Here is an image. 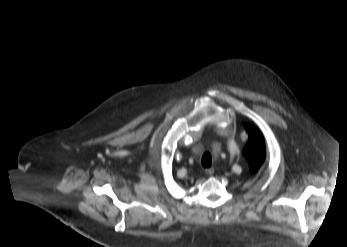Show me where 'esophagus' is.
<instances>
[{
    "label": "esophagus",
    "mask_w": 347,
    "mask_h": 247,
    "mask_svg": "<svg viewBox=\"0 0 347 247\" xmlns=\"http://www.w3.org/2000/svg\"><path fill=\"white\" fill-rule=\"evenodd\" d=\"M214 168H207L205 170V173L208 175V176H212L214 174Z\"/></svg>",
    "instance_id": "1"
}]
</instances>
